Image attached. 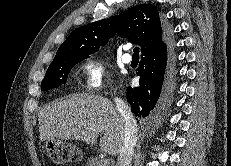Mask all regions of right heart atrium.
<instances>
[{"label":"right heart atrium","instance_id":"1","mask_svg":"<svg viewBox=\"0 0 231 166\" xmlns=\"http://www.w3.org/2000/svg\"><path fill=\"white\" fill-rule=\"evenodd\" d=\"M84 88L88 92H102L106 89L107 73L103 60L89 57L82 63Z\"/></svg>","mask_w":231,"mask_h":166}]
</instances>
